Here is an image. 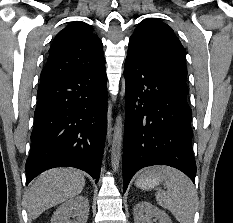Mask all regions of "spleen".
Returning <instances> with one entry per match:
<instances>
[{
    "label": "spleen",
    "mask_w": 233,
    "mask_h": 223,
    "mask_svg": "<svg viewBox=\"0 0 233 223\" xmlns=\"http://www.w3.org/2000/svg\"><path fill=\"white\" fill-rule=\"evenodd\" d=\"M164 173L166 175L164 185L167 191L165 189L156 191L157 203L164 209H170L180 223H194L198 197L191 179L173 167H165Z\"/></svg>",
    "instance_id": "spleen-1"
}]
</instances>
